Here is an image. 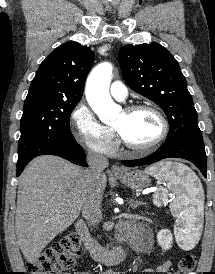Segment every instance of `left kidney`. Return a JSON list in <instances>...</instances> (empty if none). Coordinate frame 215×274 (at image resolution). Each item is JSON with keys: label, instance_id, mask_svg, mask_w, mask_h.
I'll return each mask as SVG.
<instances>
[{"label": "left kidney", "instance_id": "5707ae66", "mask_svg": "<svg viewBox=\"0 0 215 274\" xmlns=\"http://www.w3.org/2000/svg\"><path fill=\"white\" fill-rule=\"evenodd\" d=\"M157 241L163 250H169L172 247L173 243V237L171 232L168 229H162L157 234Z\"/></svg>", "mask_w": 215, "mask_h": 274}]
</instances>
